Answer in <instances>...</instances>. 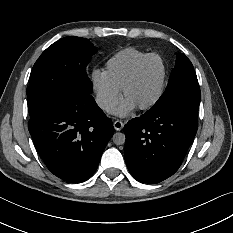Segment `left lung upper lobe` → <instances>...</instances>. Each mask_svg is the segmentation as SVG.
Listing matches in <instances>:
<instances>
[{
    "label": "left lung upper lobe",
    "mask_w": 233,
    "mask_h": 233,
    "mask_svg": "<svg viewBox=\"0 0 233 233\" xmlns=\"http://www.w3.org/2000/svg\"><path fill=\"white\" fill-rule=\"evenodd\" d=\"M201 93L193 65L185 54L177 53L167 88L154 106L148 110L160 112L172 109L198 111Z\"/></svg>",
    "instance_id": "left-lung-upper-lobe-1"
}]
</instances>
